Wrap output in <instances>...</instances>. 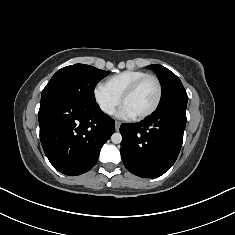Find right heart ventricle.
Returning <instances> with one entry per match:
<instances>
[{"label":"right heart ventricle","instance_id":"right-heart-ventricle-1","mask_svg":"<svg viewBox=\"0 0 235 235\" xmlns=\"http://www.w3.org/2000/svg\"><path fill=\"white\" fill-rule=\"evenodd\" d=\"M148 73L140 70H126L109 77L105 81V85L116 96L121 98L122 94L139 78Z\"/></svg>","mask_w":235,"mask_h":235}]
</instances>
